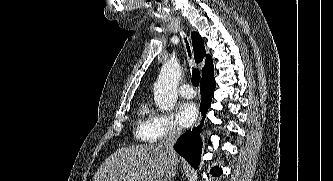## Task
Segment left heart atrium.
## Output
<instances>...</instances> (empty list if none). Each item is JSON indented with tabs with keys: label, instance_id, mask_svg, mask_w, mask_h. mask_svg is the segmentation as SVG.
Returning a JSON list of instances; mask_svg holds the SVG:
<instances>
[{
	"label": "left heart atrium",
	"instance_id": "obj_1",
	"mask_svg": "<svg viewBox=\"0 0 333 181\" xmlns=\"http://www.w3.org/2000/svg\"><path fill=\"white\" fill-rule=\"evenodd\" d=\"M197 116L198 109L192 102H182L176 111V120L183 127L192 125Z\"/></svg>",
	"mask_w": 333,
	"mask_h": 181
}]
</instances>
